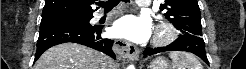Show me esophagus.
Wrapping results in <instances>:
<instances>
[{"label": "esophagus", "instance_id": "34e87169", "mask_svg": "<svg viewBox=\"0 0 246 69\" xmlns=\"http://www.w3.org/2000/svg\"><path fill=\"white\" fill-rule=\"evenodd\" d=\"M113 50L122 58H127L129 60H137L139 58V49L123 40H115L113 44Z\"/></svg>", "mask_w": 246, "mask_h": 69}]
</instances>
